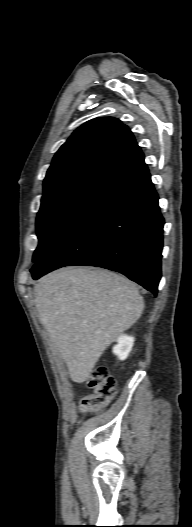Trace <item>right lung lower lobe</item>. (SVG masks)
<instances>
[{"label": "right lung lower lobe", "instance_id": "obj_1", "mask_svg": "<svg viewBox=\"0 0 192 527\" xmlns=\"http://www.w3.org/2000/svg\"><path fill=\"white\" fill-rule=\"evenodd\" d=\"M164 219L141 154L101 188L48 253L33 279L69 265L120 272L157 295Z\"/></svg>", "mask_w": 192, "mask_h": 527}]
</instances>
